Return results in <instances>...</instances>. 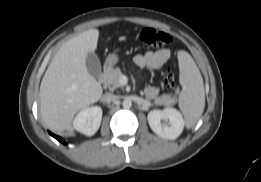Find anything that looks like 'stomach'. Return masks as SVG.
<instances>
[{
	"label": "stomach",
	"instance_id": "0dacf381",
	"mask_svg": "<svg viewBox=\"0 0 261 182\" xmlns=\"http://www.w3.org/2000/svg\"><path fill=\"white\" fill-rule=\"evenodd\" d=\"M119 61V57L117 54H109L105 60V66L109 69L114 67Z\"/></svg>",
	"mask_w": 261,
	"mask_h": 182
}]
</instances>
